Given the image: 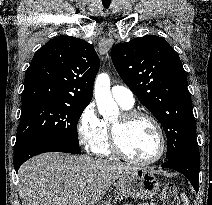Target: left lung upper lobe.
I'll return each instance as SVG.
<instances>
[{"instance_id": "1", "label": "left lung upper lobe", "mask_w": 212, "mask_h": 205, "mask_svg": "<svg viewBox=\"0 0 212 205\" xmlns=\"http://www.w3.org/2000/svg\"><path fill=\"white\" fill-rule=\"evenodd\" d=\"M111 58L125 84L165 130L167 159L195 147L191 95L178 53L163 38L148 35L115 45Z\"/></svg>"}]
</instances>
